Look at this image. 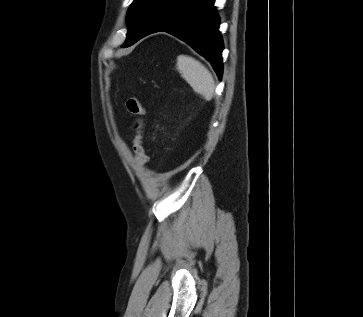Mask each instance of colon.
<instances>
[{
	"instance_id": "1",
	"label": "colon",
	"mask_w": 363,
	"mask_h": 317,
	"mask_svg": "<svg viewBox=\"0 0 363 317\" xmlns=\"http://www.w3.org/2000/svg\"><path fill=\"white\" fill-rule=\"evenodd\" d=\"M126 107L128 112L135 117L134 128L136 131V135L133 144L134 157L138 162H143L146 158V155L144 149V136L141 130L140 118L144 115L145 110L142 106L141 101L134 96H131L127 99Z\"/></svg>"
}]
</instances>
